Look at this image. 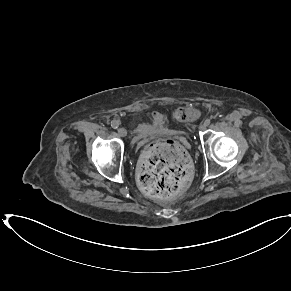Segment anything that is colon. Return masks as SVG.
<instances>
[{"instance_id":"5ec220e1","label":"colon","mask_w":291,"mask_h":291,"mask_svg":"<svg viewBox=\"0 0 291 291\" xmlns=\"http://www.w3.org/2000/svg\"><path fill=\"white\" fill-rule=\"evenodd\" d=\"M180 122L196 118L192 108L175 112ZM190 180L189 160L183 149L173 141L155 142L143 153L138 173L140 188L149 196L167 198L180 193Z\"/></svg>"}]
</instances>
